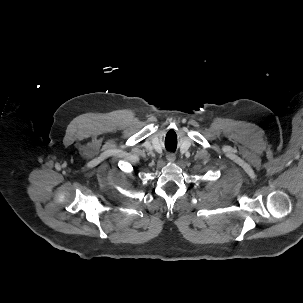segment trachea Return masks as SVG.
<instances>
[{
	"label": "trachea",
	"mask_w": 303,
	"mask_h": 303,
	"mask_svg": "<svg viewBox=\"0 0 303 303\" xmlns=\"http://www.w3.org/2000/svg\"><path fill=\"white\" fill-rule=\"evenodd\" d=\"M167 149H168L169 151H172V152L175 151V147H167Z\"/></svg>",
	"instance_id": "trachea-1"
}]
</instances>
